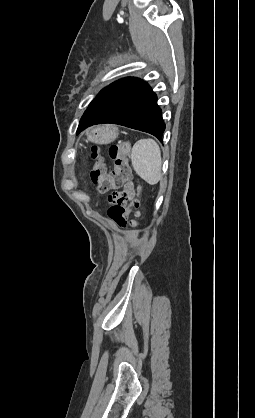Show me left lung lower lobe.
Masks as SVG:
<instances>
[{"label": "left lung lower lobe", "instance_id": "0a47b994", "mask_svg": "<svg viewBox=\"0 0 255 418\" xmlns=\"http://www.w3.org/2000/svg\"><path fill=\"white\" fill-rule=\"evenodd\" d=\"M157 96L151 87L136 77H126L104 88L90 103L78 126L102 123L123 125L150 133L162 141L165 124Z\"/></svg>", "mask_w": 255, "mask_h": 418}]
</instances>
